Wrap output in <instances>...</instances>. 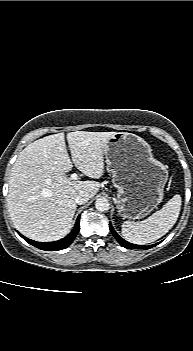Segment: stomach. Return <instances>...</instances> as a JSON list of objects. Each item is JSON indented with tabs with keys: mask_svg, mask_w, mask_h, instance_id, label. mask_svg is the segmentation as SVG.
I'll return each mask as SVG.
<instances>
[{
	"mask_svg": "<svg viewBox=\"0 0 193 351\" xmlns=\"http://www.w3.org/2000/svg\"><path fill=\"white\" fill-rule=\"evenodd\" d=\"M105 159L118 189L117 209L123 218L142 219L162 202L168 170L153 157L143 138L115 133L108 140Z\"/></svg>",
	"mask_w": 193,
	"mask_h": 351,
	"instance_id": "1",
	"label": "stomach"
}]
</instances>
